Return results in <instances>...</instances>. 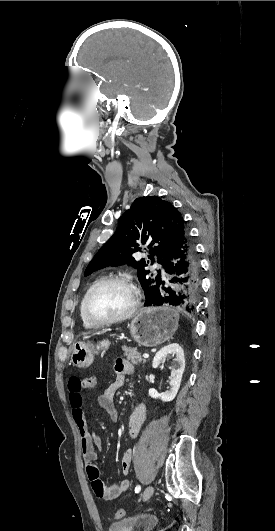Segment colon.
Wrapping results in <instances>:
<instances>
[{"instance_id":"5ec220e1","label":"colon","mask_w":275,"mask_h":531,"mask_svg":"<svg viewBox=\"0 0 275 531\" xmlns=\"http://www.w3.org/2000/svg\"><path fill=\"white\" fill-rule=\"evenodd\" d=\"M81 389L83 392H90V393H94L97 391L98 389V384L96 382V378L94 377H85V381L82 382L81 384ZM125 514V511L124 509L122 508H119L116 510L115 512V516L117 518H122Z\"/></svg>"}]
</instances>
